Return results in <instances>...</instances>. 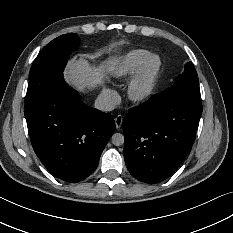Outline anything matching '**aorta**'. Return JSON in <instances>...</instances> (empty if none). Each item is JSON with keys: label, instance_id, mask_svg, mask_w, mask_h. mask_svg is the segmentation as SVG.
Wrapping results in <instances>:
<instances>
[{"label": "aorta", "instance_id": "aorta-1", "mask_svg": "<svg viewBox=\"0 0 233 233\" xmlns=\"http://www.w3.org/2000/svg\"><path fill=\"white\" fill-rule=\"evenodd\" d=\"M112 144L115 146H121L124 143V136L121 133H115L111 137Z\"/></svg>", "mask_w": 233, "mask_h": 233}]
</instances>
